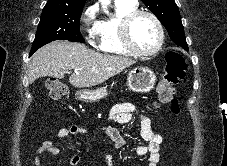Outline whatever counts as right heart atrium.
I'll return each mask as SVG.
<instances>
[{
  "instance_id": "d8ad5b80",
  "label": "right heart atrium",
  "mask_w": 227,
  "mask_h": 166,
  "mask_svg": "<svg viewBox=\"0 0 227 166\" xmlns=\"http://www.w3.org/2000/svg\"><path fill=\"white\" fill-rule=\"evenodd\" d=\"M81 20L86 39L95 43L98 38L97 6L91 5L86 8Z\"/></svg>"
}]
</instances>
